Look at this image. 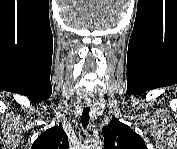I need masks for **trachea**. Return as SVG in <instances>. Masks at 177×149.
I'll return each mask as SVG.
<instances>
[{"instance_id":"obj_1","label":"trachea","mask_w":177,"mask_h":149,"mask_svg":"<svg viewBox=\"0 0 177 149\" xmlns=\"http://www.w3.org/2000/svg\"><path fill=\"white\" fill-rule=\"evenodd\" d=\"M89 112H90V107L86 106L83 108L82 116H81V123L83 127H86L89 122Z\"/></svg>"}]
</instances>
